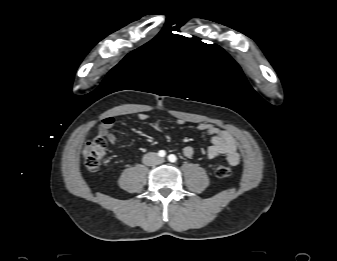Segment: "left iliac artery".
Masks as SVG:
<instances>
[{"label":"left iliac artery","instance_id":"obj_1","mask_svg":"<svg viewBox=\"0 0 337 261\" xmlns=\"http://www.w3.org/2000/svg\"><path fill=\"white\" fill-rule=\"evenodd\" d=\"M168 160H169L170 162H176L177 157H176L174 154H170V155L168 156Z\"/></svg>","mask_w":337,"mask_h":261}]
</instances>
